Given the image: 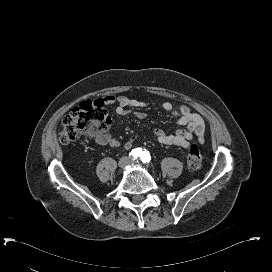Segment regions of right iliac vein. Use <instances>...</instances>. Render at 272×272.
Instances as JSON below:
<instances>
[{"mask_svg":"<svg viewBox=\"0 0 272 272\" xmlns=\"http://www.w3.org/2000/svg\"><path fill=\"white\" fill-rule=\"evenodd\" d=\"M129 161H130V159L128 157L124 156V157L120 158L118 165L123 168L129 163Z\"/></svg>","mask_w":272,"mask_h":272,"instance_id":"right-iliac-vein-1","label":"right iliac vein"}]
</instances>
